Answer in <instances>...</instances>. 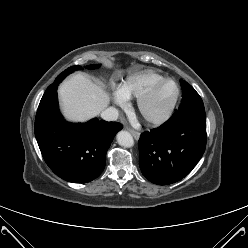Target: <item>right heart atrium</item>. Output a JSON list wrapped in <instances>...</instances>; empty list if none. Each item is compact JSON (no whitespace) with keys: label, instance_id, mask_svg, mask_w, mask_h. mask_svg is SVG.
<instances>
[{"label":"right heart atrium","instance_id":"d8ad5b80","mask_svg":"<svg viewBox=\"0 0 248 248\" xmlns=\"http://www.w3.org/2000/svg\"><path fill=\"white\" fill-rule=\"evenodd\" d=\"M113 101L119 106H125L127 104V98L121 93L120 89L114 90Z\"/></svg>","mask_w":248,"mask_h":248}]
</instances>
